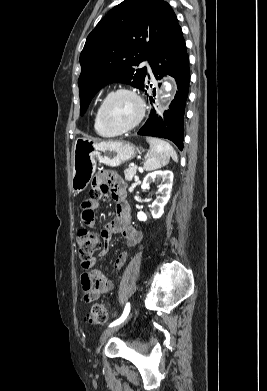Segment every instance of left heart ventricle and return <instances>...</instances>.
<instances>
[{
  "label": "left heart ventricle",
  "mask_w": 267,
  "mask_h": 391,
  "mask_svg": "<svg viewBox=\"0 0 267 391\" xmlns=\"http://www.w3.org/2000/svg\"><path fill=\"white\" fill-rule=\"evenodd\" d=\"M138 111L137 101L125 93L113 96L105 109L107 119L118 127L130 125L136 119Z\"/></svg>",
  "instance_id": "left-heart-ventricle-1"
}]
</instances>
